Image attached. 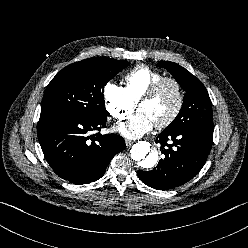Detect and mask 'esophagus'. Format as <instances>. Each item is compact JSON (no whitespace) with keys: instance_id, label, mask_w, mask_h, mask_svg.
Listing matches in <instances>:
<instances>
[{"instance_id":"34e87169","label":"esophagus","mask_w":248,"mask_h":248,"mask_svg":"<svg viewBox=\"0 0 248 248\" xmlns=\"http://www.w3.org/2000/svg\"><path fill=\"white\" fill-rule=\"evenodd\" d=\"M133 143L134 142L131 141V140H128V139L125 140V144H126L127 147H130Z\"/></svg>"}]
</instances>
